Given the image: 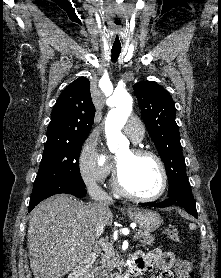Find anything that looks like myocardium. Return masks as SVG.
I'll use <instances>...</instances> for the list:
<instances>
[{
    "label": "myocardium",
    "mask_w": 221,
    "mask_h": 278,
    "mask_svg": "<svg viewBox=\"0 0 221 278\" xmlns=\"http://www.w3.org/2000/svg\"><path fill=\"white\" fill-rule=\"evenodd\" d=\"M130 152L135 155V156H147V157H151L153 158L156 163L159 166L160 172H161V187L159 189V191L154 194V195H140L137 194L135 192H133L124 182L123 180V176H122V172L119 168V166L116 167V171H115V177H114V185L116 187V189L123 194L124 196L133 199V200H137V201H145V202H149V201H156L158 199H160L166 192L167 187H168V172L166 169V166L163 162V160L161 159V157L156 154L155 152L145 149V148H139V147H135L130 149Z\"/></svg>",
    "instance_id": "obj_1"
}]
</instances>
